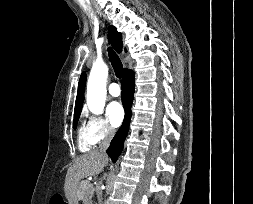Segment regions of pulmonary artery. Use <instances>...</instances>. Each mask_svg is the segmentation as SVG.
Returning <instances> with one entry per match:
<instances>
[{
    "label": "pulmonary artery",
    "instance_id": "pulmonary-artery-1",
    "mask_svg": "<svg viewBox=\"0 0 253 204\" xmlns=\"http://www.w3.org/2000/svg\"><path fill=\"white\" fill-rule=\"evenodd\" d=\"M108 92L111 96L118 97L121 93V89L117 83L113 82L109 85Z\"/></svg>",
    "mask_w": 253,
    "mask_h": 204
}]
</instances>
